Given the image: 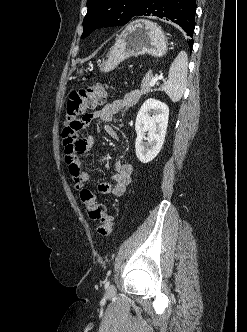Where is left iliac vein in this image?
I'll list each match as a JSON object with an SVG mask.
<instances>
[{"instance_id": "1", "label": "left iliac vein", "mask_w": 247, "mask_h": 332, "mask_svg": "<svg viewBox=\"0 0 247 332\" xmlns=\"http://www.w3.org/2000/svg\"><path fill=\"white\" fill-rule=\"evenodd\" d=\"M114 293H115V287H114V285H110L107 289V294L113 295Z\"/></svg>"}]
</instances>
